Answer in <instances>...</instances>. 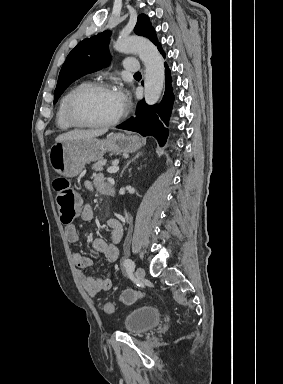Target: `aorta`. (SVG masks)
<instances>
[{
    "instance_id": "obj_1",
    "label": "aorta",
    "mask_w": 283,
    "mask_h": 384,
    "mask_svg": "<svg viewBox=\"0 0 283 384\" xmlns=\"http://www.w3.org/2000/svg\"><path fill=\"white\" fill-rule=\"evenodd\" d=\"M114 49L121 53H136L145 64L144 98L153 105L159 100L165 80L164 60L156 46L149 40L131 36L118 39Z\"/></svg>"
}]
</instances>
